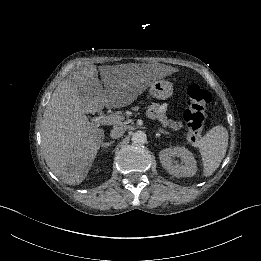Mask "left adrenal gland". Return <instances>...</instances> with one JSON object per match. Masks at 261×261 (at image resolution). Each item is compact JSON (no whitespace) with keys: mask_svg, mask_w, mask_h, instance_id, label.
I'll use <instances>...</instances> for the list:
<instances>
[{"mask_svg":"<svg viewBox=\"0 0 261 261\" xmlns=\"http://www.w3.org/2000/svg\"><path fill=\"white\" fill-rule=\"evenodd\" d=\"M158 132L161 133V134H166V135L169 134L168 132H166V131H165L164 129H162V128H159V129H158Z\"/></svg>","mask_w":261,"mask_h":261,"instance_id":"1","label":"left adrenal gland"}]
</instances>
